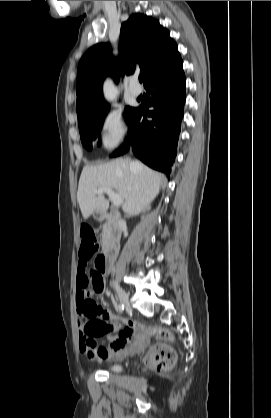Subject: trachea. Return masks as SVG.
Instances as JSON below:
<instances>
[{
  "mask_svg": "<svg viewBox=\"0 0 271 418\" xmlns=\"http://www.w3.org/2000/svg\"><path fill=\"white\" fill-rule=\"evenodd\" d=\"M142 80H143V79H142V77H139V81H140V83H142Z\"/></svg>",
  "mask_w": 271,
  "mask_h": 418,
  "instance_id": "3493384b",
  "label": "trachea"
}]
</instances>
